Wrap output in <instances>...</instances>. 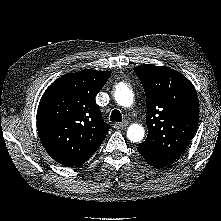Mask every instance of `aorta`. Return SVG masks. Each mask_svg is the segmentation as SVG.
<instances>
[{"label": "aorta", "mask_w": 221, "mask_h": 221, "mask_svg": "<svg viewBox=\"0 0 221 221\" xmlns=\"http://www.w3.org/2000/svg\"><path fill=\"white\" fill-rule=\"evenodd\" d=\"M114 97L117 103L123 107H131L133 104V93L127 85L117 87ZM144 135V128L139 124H131L127 129V137L132 142H140Z\"/></svg>", "instance_id": "obj_1"}]
</instances>
